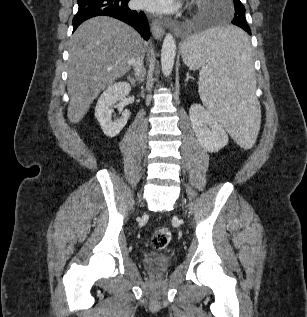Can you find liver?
Returning a JSON list of instances; mask_svg holds the SVG:
<instances>
[{"instance_id": "1", "label": "liver", "mask_w": 307, "mask_h": 317, "mask_svg": "<svg viewBox=\"0 0 307 317\" xmlns=\"http://www.w3.org/2000/svg\"><path fill=\"white\" fill-rule=\"evenodd\" d=\"M142 52L140 35L117 19L100 16L82 23L69 43L70 122H80L100 92L126 74Z\"/></svg>"}]
</instances>
